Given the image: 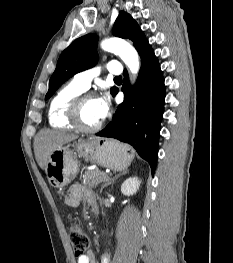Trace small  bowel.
Segmentation results:
<instances>
[{
    "instance_id": "1",
    "label": "small bowel",
    "mask_w": 233,
    "mask_h": 263,
    "mask_svg": "<svg viewBox=\"0 0 233 263\" xmlns=\"http://www.w3.org/2000/svg\"><path fill=\"white\" fill-rule=\"evenodd\" d=\"M85 196L88 207L95 212L97 209V202L92 193L86 191L80 185L71 186L65 195V202L68 205L76 206L79 204L81 198ZM77 263H95V256L92 251L77 258ZM101 263H110V254L105 251L101 256Z\"/></svg>"
}]
</instances>
